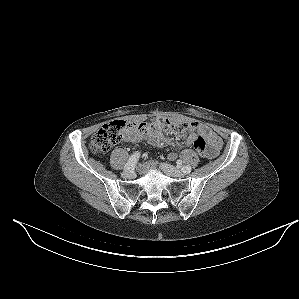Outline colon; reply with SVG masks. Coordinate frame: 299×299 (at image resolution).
Segmentation results:
<instances>
[{
	"label": "colon",
	"mask_w": 299,
	"mask_h": 299,
	"mask_svg": "<svg viewBox=\"0 0 299 299\" xmlns=\"http://www.w3.org/2000/svg\"><path fill=\"white\" fill-rule=\"evenodd\" d=\"M159 122L165 131L180 137L186 136L192 126V123L174 122L167 118H160ZM145 127V123H132L125 120L111 121L94 134L90 141V148L96 153H106L114 145L121 142L130 129L137 128L143 130ZM193 146L203 157L209 155L208 144L203 137H196Z\"/></svg>",
	"instance_id": "1"
}]
</instances>
